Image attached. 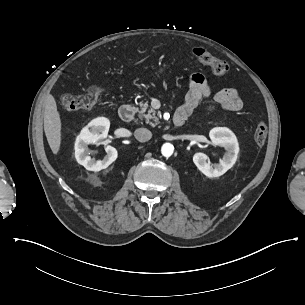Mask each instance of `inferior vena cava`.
Returning <instances> with one entry per match:
<instances>
[{
    "instance_id": "1",
    "label": "inferior vena cava",
    "mask_w": 305,
    "mask_h": 305,
    "mask_svg": "<svg viewBox=\"0 0 305 305\" xmlns=\"http://www.w3.org/2000/svg\"><path fill=\"white\" fill-rule=\"evenodd\" d=\"M135 138L140 142H145L151 139L152 132L146 128H138L134 132Z\"/></svg>"
}]
</instances>
